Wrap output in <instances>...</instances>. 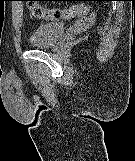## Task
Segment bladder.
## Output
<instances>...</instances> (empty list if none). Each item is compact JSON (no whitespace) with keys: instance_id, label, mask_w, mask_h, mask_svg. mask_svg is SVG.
<instances>
[{"instance_id":"1","label":"bladder","mask_w":135,"mask_h":161,"mask_svg":"<svg viewBox=\"0 0 135 161\" xmlns=\"http://www.w3.org/2000/svg\"><path fill=\"white\" fill-rule=\"evenodd\" d=\"M65 25L60 22L50 21L39 24L28 39V45L32 48H49L58 43L65 33Z\"/></svg>"}]
</instances>
